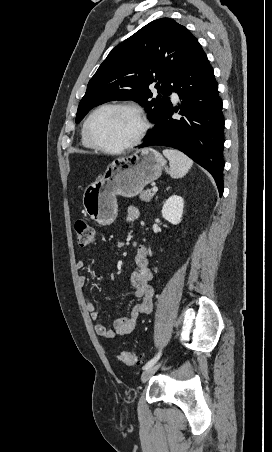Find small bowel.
Masks as SVG:
<instances>
[{
	"label": "small bowel",
	"instance_id": "obj_1",
	"mask_svg": "<svg viewBox=\"0 0 272 452\" xmlns=\"http://www.w3.org/2000/svg\"><path fill=\"white\" fill-rule=\"evenodd\" d=\"M139 209L136 206H129L126 211V222L132 223L139 217ZM135 270L131 275V284L135 289V296L140 302L134 305L129 313L124 317L115 320L113 329H107L102 323L97 322L94 331L97 336L103 339H114L118 336L130 334L138 321L140 315L147 314L151 311L154 299V289L150 282L153 277L152 270L149 267L148 249L145 245H138L135 256ZM85 267L84 261H78L76 268L82 270ZM88 282L86 275L79 276V283L85 286ZM87 309L93 320H98L100 313L95 302H88Z\"/></svg>",
	"mask_w": 272,
	"mask_h": 452
}]
</instances>
